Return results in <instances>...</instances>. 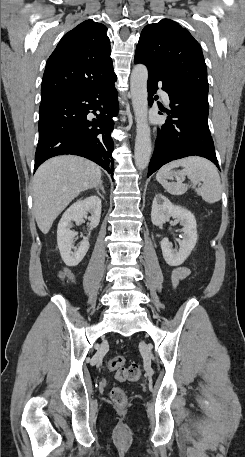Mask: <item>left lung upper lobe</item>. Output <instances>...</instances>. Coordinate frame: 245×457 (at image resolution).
I'll return each instance as SVG.
<instances>
[{
    "label": "left lung upper lobe",
    "instance_id": "5c2ea615",
    "mask_svg": "<svg viewBox=\"0 0 245 457\" xmlns=\"http://www.w3.org/2000/svg\"><path fill=\"white\" fill-rule=\"evenodd\" d=\"M135 58L156 67L179 87L178 96L197 106L208 105L207 68L202 49L188 30L170 19L141 32Z\"/></svg>",
    "mask_w": 245,
    "mask_h": 457
}]
</instances>
